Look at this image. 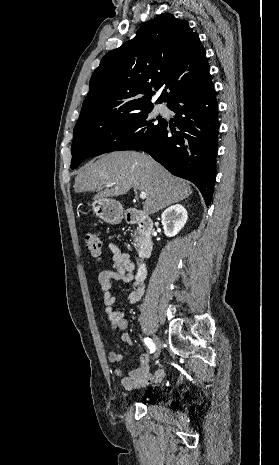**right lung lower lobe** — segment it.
Returning a JSON list of instances; mask_svg holds the SVG:
<instances>
[{
    "mask_svg": "<svg viewBox=\"0 0 279 465\" xmlns=\"http://www.w3.org/2000/svg\"><path fill=\"white\" fill-rule=\"evenodd\" d=\"M167 106L176 113L174 131L165 122L151 142L123 150H143L175 176L194 183L210 204L216 180L218 108L211 77L173 98ZM172 130V135L170 133Z\"/></svg>",
    "mask_w": 279,
    "mask_h": 465,
    "instance_id": "1",
    "label": "right lung lower lobe"
}]
</instances>
